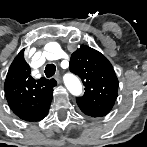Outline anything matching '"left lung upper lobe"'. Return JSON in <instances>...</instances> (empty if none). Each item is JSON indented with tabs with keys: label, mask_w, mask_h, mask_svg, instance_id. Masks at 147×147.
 Returning a JSON list of instances; mask_svg holds the SVG:
<instances>
[{
	"label": "left lung upper lobe",
	"mask_w": 147,
	"mask_h": 147,
	"mask_svg": "<svg viewBox=\"0 0 147 147\" xmlns=\"http://www.w3.org/2000/svg\"><path fill=\"white\" fill-rule=\"evenodd\" d=\"M69 68L85 86L84 95L76 98L80 110L91 117L108 114L114 106L119 85L108 59L99 51L82 45L72 53Z\"/></svg>",
	"instance_id": "1"
}]
</instances>
